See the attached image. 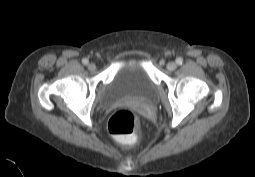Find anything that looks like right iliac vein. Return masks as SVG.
<instances>
[{"label":"right iliac vein","instance_id":"1","mask_svg":"<svg viewBox=\"0 0 255 177\" xmlns=\"http://www.w3.org/2000/svg\"><path fill=\"white\" fill-rule=\"evenodd\" d=\"M88 69H89L90 71H94V70L96 69V65H95L94 63H89V64H88Z\"/></svg>","mask_w":255,"mask_h":177}]
</instances>
